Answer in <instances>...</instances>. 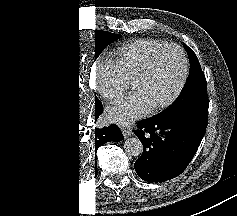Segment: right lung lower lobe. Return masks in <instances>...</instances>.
Wrapping results in <instances>:
<instances>
[{"label": "right lung lower lobe", "instance_id": "obj_1", "mask_svg": "<svg viewBox=\"0 0 237 216\" xmlns=\"http://www.w3.org/2000/svg\"><path fill=\"white\" fill-rule=\"evenodd\" d=\"M95 105H96L95 120H97L99 115L103 112V108H102V104L100 101L96 102ZM121 140H123V135H122L120 129L115 125H111L109 127H103L102 129H95V134H94L95 151H97V149H98V147H100V145H102L108 141L118 142ZM96 176H97V170H96Z\"/></svg>", "mask_w": 237, "mask_h": 216}]
</instances>
